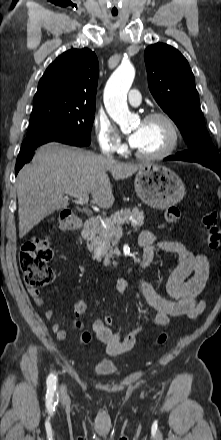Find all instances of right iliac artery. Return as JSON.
Here are the masks:
<instances>
[{"label":"right iliac artery","instance_id":"82829eb1","mask_svg":"<svg viewBox=\"0 0 221 440\" xmlns=\"http://www.w3.org/2000/svg\"><path fill=\"white\" fill-rule=\"evenodd\" d=\"M57 378L54 374H50L47 379V394L52 397L56 389Z\"/></svg>","mask_w":221,"mask_h":440}]
</instances>
